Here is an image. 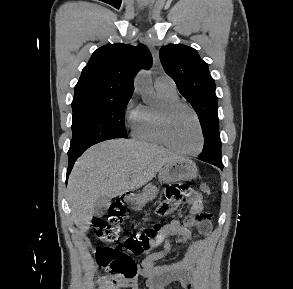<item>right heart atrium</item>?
<instances>
[{
    "label": "right heart atrium",
    "mask_w": 293,
    "mask_h": 289,
    "mask_svg": "<svg viewBox=\"0 0 293 289\" xmlns=\"http://www.w3.org/2000/svg\"><path fill=\"white\" fill-rule=\"evenodd\" d=\"M138 109L139 107H136V96L132 95L126 104L125 111L126 113H132L134 116Z\"/></svg>",
    "instance_id": "d8ad5b80"
}]
</instances>
